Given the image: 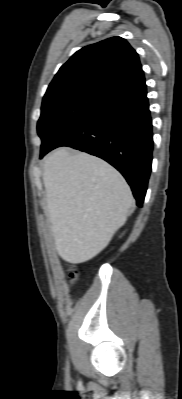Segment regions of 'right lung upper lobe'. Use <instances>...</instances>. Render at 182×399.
<instances>
[{
  "mask_svg": "<svg viewBox=\"0 0 182 399\" xmlns=\"http://www.w3.org/2000/svg\"><path fill=\"white\" fill-rule=\"evenodd\" d=\"M145 85L138 54L121 37H112L77 51L61 66L43 100L90 94L104 99Z\"/></svg>",
  "mask_w": 182,
  "mask_h": 399,
  "instance_id": "right-lung-upper-lobe-1",
  "label": "right lung upper lobe"
}]
</instances>
